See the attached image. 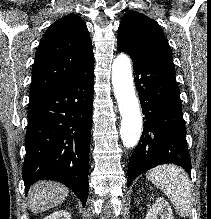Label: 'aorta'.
<instances>
[{
  "label": "aorta",
  "instance_id": "762f6f07",
  "mask_svg": "<svg viewBox=\"0 0 211 219\" xmlns=\"http://www.w3.org/2000/svg\"><path fill=\"white\" fill-rule=\"evenodd\" d=\"M112 84L122 116L121 139L124 146L132 148L140 139L142 117L135 95L131 62L124 53L119 54L113 61Z\"/></svg>",
  "mask_w": 211,
  "mask_h": 219
}]
</instances>
